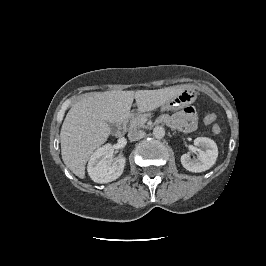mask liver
Here are the masks:
<instances>
[{"label": "liver", "mask_w": 266, "mask_h": 266, "mask_svg": "<svg viewBox=\"0 0 266 266\" xmlns=\"http://www.w3.org/2000/svg\"><path fill=\"white\" fill-rule=\"evenodd\" d=\"M184 87L87 94L71 107L62 124L60 142L63 162L76 176L85 178L87 161L111 134L109 123L126 120L134 99L138 111L147 112L163 105Z\"/></svg>", "instance_id": "6515ba94"}]
</instances>
